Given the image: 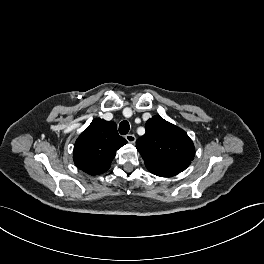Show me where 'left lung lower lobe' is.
Returning <instances> with one entry per match:
<instances>
[{
	"label": "left lung lower lobe",
	"mask_w": 264,
	"mask_h": 264,
	"mask_svg": "<svg viewBox=\"0 0 264 264\" xmlns=\"http://www.w3.org/2000/svg\"><path fill=\"white\" fill-rule=\"evenodd\" d=\"M147 169L154 175L160 176V177H172L179 172L176 171H171V170H162V169H157V168H150L147 167Z\"/></svg>",
	"instance_id": "left-lung-lower-lobe-1"
}]
</instances>
